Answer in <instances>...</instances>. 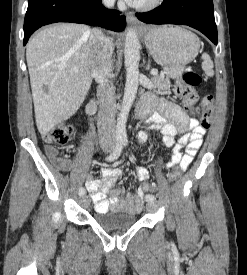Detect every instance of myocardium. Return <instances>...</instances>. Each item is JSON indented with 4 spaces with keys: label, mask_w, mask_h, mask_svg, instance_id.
<instances>
[{
    "label": "myocardium",
    "mask_w": 247,
    "mask_h": 275,
    "mask_svg": "<svg viewBox=\"0 0 247 275\" xmlns=\"http://www.w3.org/2000/svg\"><path fill=\"white\" fill-rule=\"evenodd\" d=\"M164 0H148L143 4L134 5V7L138 10L148 11L157 8L162 4Z\"/></svg>",
    "instance_id": "f54148a6"
}]
</instances>
